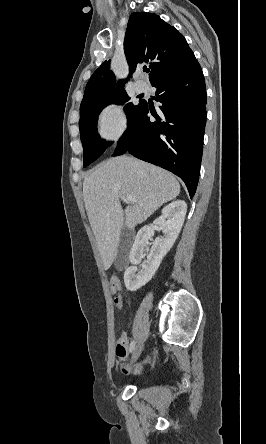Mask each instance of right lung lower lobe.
Returning a JSON list of instances; mask_svg holds the SVG:
<instances>
[{"label":"right lung lower lobe","mask_w":266,"mask_h":444,"mask_svg":"<svg viewBox=\"0 0 266 444\" xmlns=\"http://www.w3.org/2000/svg\"><path fill=\"white\" fill-rule=\"evenodd\" d=\"M157 88L158 113L147 102L128 125L113 156L129 152L179 176L190 197L195 194L206 124V86L197 60L152 83ZM156 118L151 122L149 115Z\"/></svg>","instance_id":"right-lung-lower-lobe-1"}]
</instances>
